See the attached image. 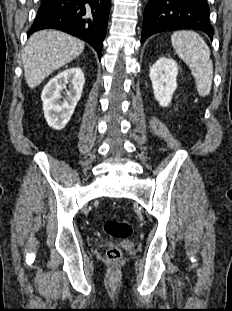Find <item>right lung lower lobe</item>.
<instances>
[{
	"mask_svg": "<svg viewBox=\"0 0 232 311\" xmlns=\"http://www.w3.org/2000/svg\"><path fill=\"white\" fill-rule=\"evenodd\" d=\"M110 0H42L28 36L43 29H57L89 43L101 57Z\"/></svg>",
	"mask_w": 232,
	"mask_h": 311,
	"instance_id": "98d812e1",
	"label": "right lung lower lobe"
}]
</instances>
